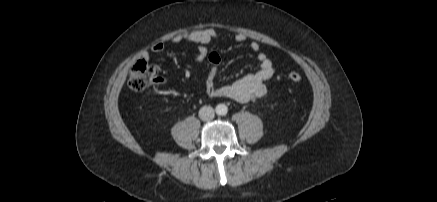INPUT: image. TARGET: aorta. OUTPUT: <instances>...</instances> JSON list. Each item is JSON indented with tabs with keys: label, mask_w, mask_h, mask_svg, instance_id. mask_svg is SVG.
<instances>
[{
	"label": "aorta",
	"mask_w": 437,
	"mask_h": 202,
	"mask_svg": "<svg viewBox=\"0 0 437 202\" xmlns=\"http://www.w3.org/2000/svg\"><path fill=\"white\" fill-rule=\"evenodd\" d=\"M215 111L218 115H226L228 112V107L225 104H218L215 108Z\"/></svg>",
	"instance_id": "obj_1"
}]
</instances>
